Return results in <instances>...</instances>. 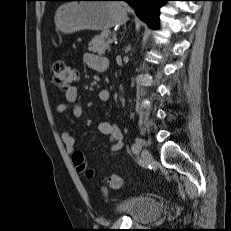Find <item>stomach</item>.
Listing matches in <instances>:
<instances>
[{
  "label": "stomach",
  "mask_w": 231,
  "mask_h": 231,
  "mask_svg": "<svg viewBox=\"0 0 231 231\" xmlns=\"http://www.w3.org/2000/svg\"><path fill=\"white\" fill-rule=\"evenodd\" d=\"M127 21L126 7L114 0H78L61 5L54 17L56 28L64 34L83 30L108 31Z\"/></svg>",
  "instance_id": "obj_1"
}]
</instances>
